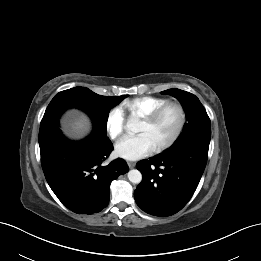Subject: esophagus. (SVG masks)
I'll list each match as a JSON object with an SVG mask.
<instances>
[{"label": "esophagus", "instance_id": "obj_1", "mask_svg": "<svg viewBox=\"0 0 261 261\" xmlns=\"http://www.w3.org/2000/svg\"><path fill=\"white\" fill-rule=\"evenodd\" d=\"M129 168H134L135 167V163L134 162H127Z\"/></svg>", "mask_w": 261, "mask_h": 261}]
</instances>
